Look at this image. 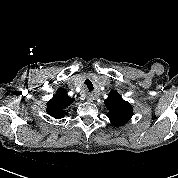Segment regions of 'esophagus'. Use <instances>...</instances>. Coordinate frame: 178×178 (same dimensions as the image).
Returning a JSON list of instances; mask_svg holds the SVG:
<instances>
[{
    "mask_svg": "<svg viewBox=\"0 0 178 178\" xmlns=\"http://www.w3.org/2000/svg\"><path fill=\"white\" fill-rule=\"evenodd\" d=\"M87 100L90 101V102H93V101L95 100L94 94L89 93V94L87 95Z\"/></svg>",
    "mask_w": 178,
    "mask_h": 178,
    "instance_id": "obj_1",
    "label": "esophagus"
}]
</instances>
